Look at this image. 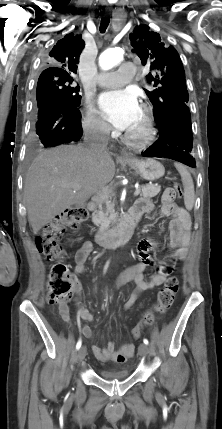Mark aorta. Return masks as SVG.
<instances>
[{
    "instance_id": "762f6f07",
    "label": "aorta",
    "mask_w": 222,
    "mask_h": 429,
    "mask_svg": "<svg viewBox=\"0 0 222 429\" xmlns=\"http://www.w3.org/2000/svg\"><path fill=\"white\" fill-rule=\"evenodd\" d=\"M124 50L121 48H110L105 50L99 57V65L103 70H109L123 60Z\"/></svg>"
}]
</instances>
